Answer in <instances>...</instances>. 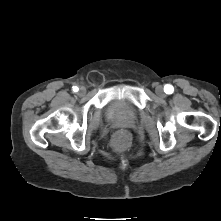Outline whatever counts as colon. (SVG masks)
<instances>
[{
  "label": "colon",
  "instance_id": "1",
  "mask_svg": "<svg viewBox=\"0 0 221 221\" xmlns=\"http://www.w3.org/2000/svg\"><path fill=\"white\" fill-rule=\"evenodd\" d=\"M130 139L128 131L119 130L112 137V146L118 151L124 150L130 144Z\"/></svg>",
  "mask_w": 221,
  "mask_h": 221
}]
</instances>
